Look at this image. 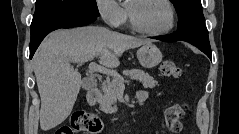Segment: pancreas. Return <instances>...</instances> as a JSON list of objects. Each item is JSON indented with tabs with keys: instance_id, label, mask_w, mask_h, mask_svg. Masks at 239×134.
I'll use <instances>...</instances> for the list:
<instances>
[{
	"instance_id": "pancreas-1",
	"label": "pancreas",
	"mask_w": 239,
	"mask_h": 134,
	"mask_svg": "<svg viewBox=\"0 0 239 134\" xmlns=\"http://www.w3.org/2000/svg\"><path fill=\"white\" fill-rule=\"evenodd\" d=\"M123 74L131 76L138 80L144 88H154L158 82L154 80L148 73L143 70L131 69L124 70ZM118 80L114 78L112 82H105L102 86L103 96L99 100L100 108L104 113L112 114L117 112V94H118Z\"/></svg>"
}]
</instances>
